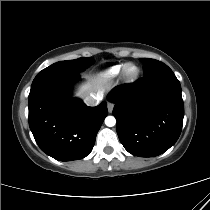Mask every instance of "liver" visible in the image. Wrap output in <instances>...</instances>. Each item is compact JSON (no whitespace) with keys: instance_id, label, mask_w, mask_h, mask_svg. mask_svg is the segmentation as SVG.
I'll return each instance as SVG.
<instances>
[{"instance_id":"6515ba94","label":"liver","mask_w":210,"mask_h":210,"mask_svg":"<svg viewBox=\"0 0 210 210\" xmlns=\"http://www.w3.org/2000/svg\"><path fill=\"white\" fill-rule=\"evenodd\" d=\"M105 80L101 75L88 77L87 81L78 87L76 95L81 98L101 93L104 90Z\"/></svg>"}]
</instances>
